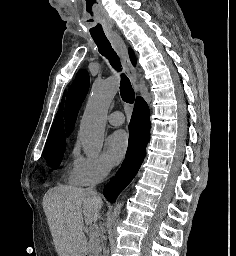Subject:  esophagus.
Returning <instances> with one entry per match:
<instances>
[{
  "mask_svg": "<svg viewBox=\"0 0 236 256\" xmlns=\"http://www.w3.org/2000/svg\"><path fill=\"white\" fill-rule=\"evenodd\" d=\"M110 40L112 41L131 82L133 84H136L137 83L136 70L130 62L127 47L123 39L118 33H114L110 35Z\"/></svg>",
  "mask_w": 236,
  "mask_h": 256,
  "instance_id": "obj_1",
  "label": "esophagus"
}]
</instances>
